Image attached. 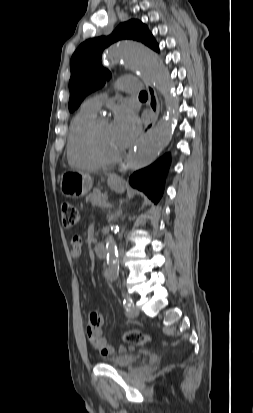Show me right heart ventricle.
<instances>
[{"mask_svg":"<svg viewBox=\"0 0 253 413\" xmlns=\"http://www.w3.org/2000/svg\"><path fill=\"white\" fill-rule=\"evenodd\" d=\"M97 115L84 107L72 119L66 146L68 162L75 167L96 169L101 164L90 154L86 142V134L90 124Z\"/></svg>","mask_w":253,"mask_h":413,"instance_id":"obj_1","label":"right heart ventricle"}]
</instances>
